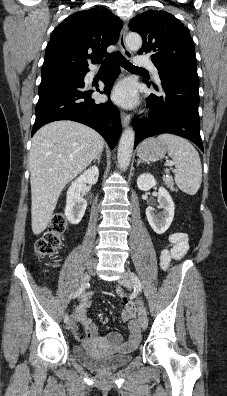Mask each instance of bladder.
Wrapping results in <instances>:
<instances>
[{
  "mask_svg": "<svg viewBox=\"0 0 227 396\" xmlns=\"http://www.w3.org/2000/svg\"><path fill=\"white\" fill-rule=\"evenodd\" d=\"M72 354L78 362L95 371H112L125 365L131 359L130 352L103 354L87 345L74 346Z\"/></svg>",
  "mask_w": 227,
  "mask_h": 396,
  "instance_id": "1",
  "label": "bladder"
}]
</instances>
